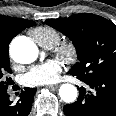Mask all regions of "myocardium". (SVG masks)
<instances>
[{
    "label": "myocardium",
    "instance_id": "f54148a6",
    "mask_svg": "<svg viewBox=\"0 0 116 116\" xmlns=\"http://www.w3.org/2000/svg\"><path fill=\"white\" fill-rule=\"evenodd\" d=\"M55 51L68 61H73L77 55V49L72 42L58 43Z\"/></svg>",
    "mask_w": 116,
    "mask_h": 116
}]
</instances>
